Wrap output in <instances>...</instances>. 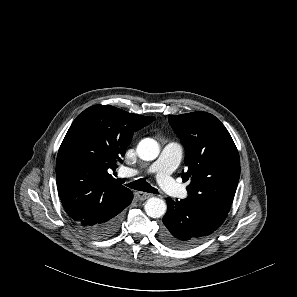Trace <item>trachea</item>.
Listing matches in <instances>:
<instances>
[{"label": "trachea", "instance_id": "1", "mask_svg": "<svg viewBox=\"0 0 297 297\" xmlns=\"http://www.w3.org/2000/svg\"><path fill=\"white\" fill-rule=\"evenodd\" d=\"M126 186L131 189H134V190L144 191V192H148V193H153V194L159 193L157 189L153 188L143 178L133 181L131 183H128V184H126Z\"/></svg>", "mask_w": 297, "mask_h": 297}]
</instances>
